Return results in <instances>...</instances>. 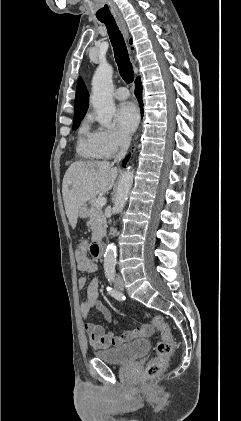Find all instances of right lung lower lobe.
I'll use <instances>...</instances> for the list:
<instances>
[{
    "label": "right lung lower lobe",
    "mask_w": 241,
    "mask_h": 421,
    "mask_svg": "<svg viewBox=\"0 0 241 421\" xmlns=\"http://www.w3.org/2000/svg\"><path fill=\"white\" fill-rule=\"evenodd\" d=\"M135 95H136V97H137V99L140 103V106H142L143 105V103H142V85H141V80H140L139 77L135 80ZM129 157H130V155L123 162L124 166L126 165V162L128 161Z\"/></svg>",
    "instance_id": "1"
}]
</instances>
